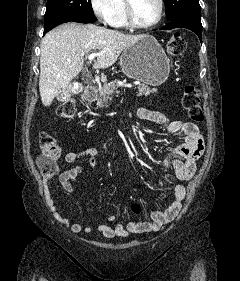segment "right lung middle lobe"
<instances>
[{
	"label": "right lung middle lobe",
	"mask_w": 240,
	"mask_h": 281,
	"mask_svg": "<svg viewBox=\"0 0 240 281\" xmlns=\"http://www.w3.org/2000/svg\"><path fill=\"white\" fill-rule=\"evenodd\" d=\"M89 23L96 18L91 0H48L45 12L44 33L65 22Z\"/></svg>",
	"instance_id": "1"
}]
</instances>
